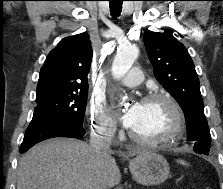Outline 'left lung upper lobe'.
<instances>
[{
    "mask_svg": "<svg viewBox=\"0 0 223 189\" xmlns=\"http://www.w3.org/2000/svg\"><path fill=\"white\" fill-rule=\"evenodd\" d=\"M144 44L154 75L181 106L194 151L208 155L211 137L204 115L200 83L185 46L172 35L147 31Z\"/></svg>",
    "mask_w": 223,
    "mask_h": 189,
    "instance_id": "left-lung-upper-lobe-1",
    "label": "left lung upper lobe"
}]
</instances>
